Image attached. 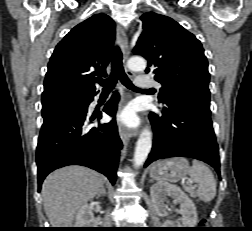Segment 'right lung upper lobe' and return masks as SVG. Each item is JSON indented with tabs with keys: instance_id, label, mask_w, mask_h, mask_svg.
Instances as JSON below:
<instances>
[{
	"instance_id": "1",
	"label": "right lung upper lobe",
	"mask_w": 252,
	"mask_h": 231,
	"mask_svg": "<svg viewBox=\"0 0 252 231\" xmlns=\"http://www.w3.org/2000/svg\"><path fill=\"white\" fill-rule=\"evenodd\" d=\"M114 38L115 23L102 13L75 26L50 58L42 101L97 94L96 76H107Z\"/></svg>"
}]
</instances>
